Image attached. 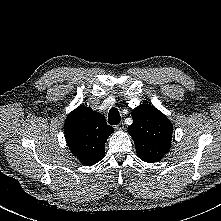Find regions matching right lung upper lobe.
<instances>
[{"instance_id": "right-lung-upper-lobe-1", "label": "right lung upper lobe", "mask_w": 221, "mask_h": 221, "mask_svg": "<svg viewBox=\"0 0 221 221\" xmlns=\"http://www.w3.org/2000/svg\"><path fill=\"white\" fill-rule=\"evenodd\" d=\"M113 132L102 114L84 105L72 111L65 121V137L71 152L88 166L103 159L105 143Z\"/></svg>"}]
</instances>
